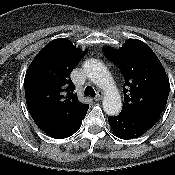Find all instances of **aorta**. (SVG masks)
I'll return each mask as SVG.
<instances>
[{
    "mask_svg": "<svg viewBox=\"0 0 175 175\" xmlns=\"http://www.w3.org/2000/svg\"><path fill=\"white\" fill-rule=\"evenodd\" d=\"M83 67L87 77L105 91L103 99L105 113L111 116L118 115L122 108L121 97L107 68L95 59L86 61Z\"/></svg>",
    "mask_w": 175,
    "mask_h": 175,
    "instance_id": "762f6f07",
    "label": "aorta"
}]
</instances>
